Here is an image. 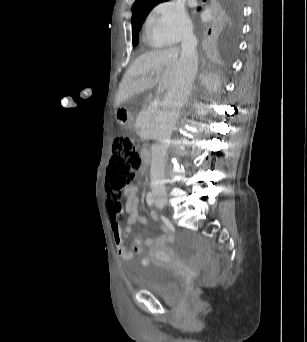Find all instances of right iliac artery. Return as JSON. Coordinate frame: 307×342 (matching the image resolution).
<instances>
[{"instance_id":"right-iliac-artery-1","label":"right iliac artery","mask_w":307,"mask_h":342,"mask_svg":"<svg viewBox=\"0 0 307 342\" xmlns=\"http://www.w3.org/2000/svg\"><path fill=\"white\" fill-rule=\"evenodd\" d=\"M146 201H147L148 205H150V206L153 204L154 199H153V195L151 192H149L147 194Z\"/></svg>"}]
</instances>
